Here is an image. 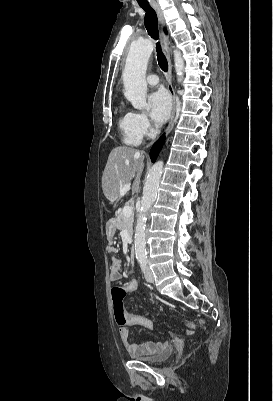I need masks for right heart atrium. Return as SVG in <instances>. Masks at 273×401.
Masks as SVG:
<instances>
[{"mask_svg":"<svg viewBox=\"0 0 273 401\" xmlns=\"http://www.w3.org/2000/svg\"><path fill=\"white\" fill-rule=\"evenodd\" d=\"M133 129L141 138H151L157 133V127L141 112H130Z\"/></svg>","mask_w":273,"mask_h":401,"instance_id":"d8ad5b80","label":"right heart atrium"}]
</instances>
